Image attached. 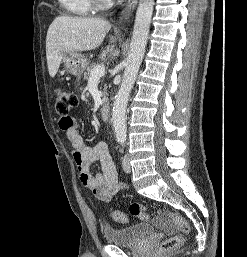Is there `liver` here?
Here are the masks:
<instances>
[{"label": "liver", "instance_id": "6515ba94", "mask_svg": "<svg viewBox=\"0 0 247 257\" xmlns=\"http://www.w3.org/2000/svg\"><path fill=\"white\" fill-rule=\"evenodd\" d=\"M111 24L100 18L59 16L51 23L46 37L49 75L58 72L64 53L90 51L98 48Z\"/></svg>", "mask_w": 247, "mask_h": 257}]
</instances>
